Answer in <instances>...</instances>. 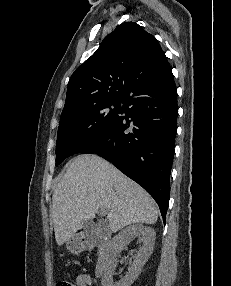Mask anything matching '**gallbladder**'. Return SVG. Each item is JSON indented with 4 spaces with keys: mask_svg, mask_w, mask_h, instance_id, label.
<instances>
[{
    "mask_svg": "<svg viewBox=\"0 0 231 286\" xmlns=\"http://www.w3.org/2000/svg\"><path fill=\"white\" fill-rule=\"evenodd\" d=\"M83 228L87 234H96L99 232V229L96 227L95 222L92 218L86 217L83 221Z\"/></svg>",
    "mask_w": 231,
    "mask_h": 286,
    "instance_id": "1",
    "label": "gallbladder"
}]
</instances>
